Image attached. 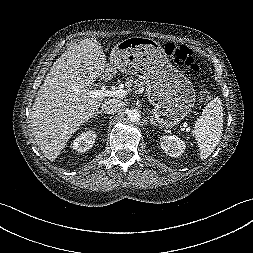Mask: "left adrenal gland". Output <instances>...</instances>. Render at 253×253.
<instances>
[{
	"instance_id": "left-adrenal-gland-1",
	"label": "left adrenal gland",
	"mask_w": 253,
	"mask_h": 253,
	"mask_svg": "<svg viewBox=\"0 0 253 253\" xmlns=\"http://www.w3.org/2000/svg\"><path fill=\"white\" fill-rule=\"evenodd\" d=\"M150 122H151L152 125L158 126V124L155 122L153 116H150Z\"/></svg>"
}]
</instances>
